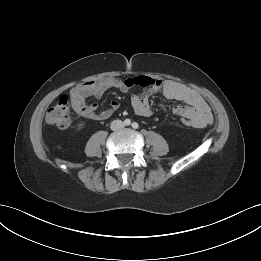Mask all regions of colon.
<instances>
[{
    "label": "colon",
    "instance_id": "obj_1",
    "mask_svg": "<svg viewBox=\"0 0 261 261\" xmlns=\"http://www.w3.org/2000/svg\"><path fill=\"white\" fill-rule=\"evenodd\" d=\"M48 124L61 129H67L71 125L70 106L66 97H62L53 107H51L46 115ZM181 122L185 126H192L190 119L182 118Z\"/></svg>",
    "mask_w": 261,
    "mask_h": 261
}]
</instances>
